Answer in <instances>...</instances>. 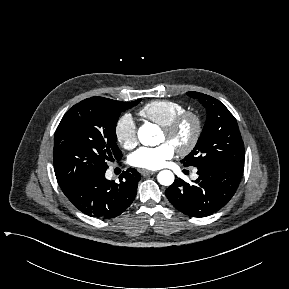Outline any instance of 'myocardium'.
I'll return each instance as SVG.
<instances>
[{"label":"myocardium","instance_id":"myocardium-1","mask_svg":"<svg viewBox=\"0 0 289 289\" xmlns=\"http://www.w3.org/2000/svg\"><path fill=\"white\" fill-rule=\"evenodd\" d=\"M186 121H192L194 129L190 140L183 146L177 147L176 151L180 155H187L197 146L203 131V121L201 116L193 111H184L177 115L167 125L162 127V132L168 137L174 136Z\"/></svg>","mask_w":289,"mask_h":289}]
</instances>
